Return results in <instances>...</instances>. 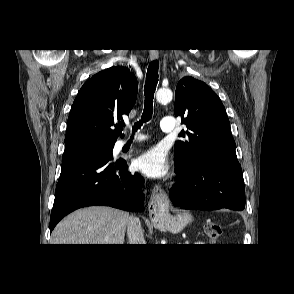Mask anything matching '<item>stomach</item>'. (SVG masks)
I'll return each instance as SVG.
<instances>
[{"label":"stomach","mask_w":294,"mask_h":294,"mask_svg":"<svg viewBox=\"0 0 294 294\" xmlns=\"http://www.w3.org/2000/svg\"><path fill=\"white\" fill-rule=\"evenodd\" d=\"M191 220L192 217L188 212H183L177 215H171L169 212H164L160 216L159 226L170 232L177 233L181 231Z\"/></svg>","instance_id":"obj_1"}]
</instances>
